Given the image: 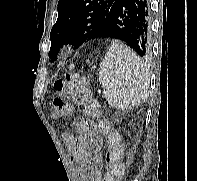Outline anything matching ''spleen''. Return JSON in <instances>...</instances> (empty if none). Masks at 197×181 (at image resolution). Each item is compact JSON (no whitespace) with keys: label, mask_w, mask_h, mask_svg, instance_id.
I'll return each instance as SVG.
<instances>
[{"label":"spleen","mask_w":197,"mask_h":181,"mask_svg":"<svg viewBox=\"0 0 197 181\" xmlns=\"http://www.w3.org/2000/svg\"><path fill=\"white\" fill-rule=\"evenodd\" d=\"M99 82L108 104L116 109L137 106L149 97V73L135 53L113 41L99 69Z\"/></svg>","instance_id":"obj_1"}]
</instances>
